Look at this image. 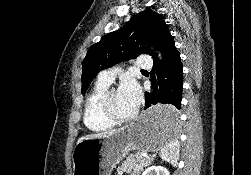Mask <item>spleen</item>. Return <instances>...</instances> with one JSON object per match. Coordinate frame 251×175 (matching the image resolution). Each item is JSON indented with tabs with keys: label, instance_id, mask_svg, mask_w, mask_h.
I'll use <instances>...</instances> for the list:
<instances>
[{
	"label": "spleen",
	"instance_id": "1",
	"mask_svg": "<svg viewBox=\"0 0 251 175\" xmlns=\"http://www.w3.org/2000/svg\"><path fill=\"white\" fill-rule=\"evenodd\" d=\"M177 117V113H175V111H173L172 109V113L169 119H164L163 129L166 135H168V139L165 145L161 147L160 151L162 159H165V161H169V163H172L173 167H176V165H178L179 159V145L178 143H176L175 145L176 137H178L179 131V121Z\"/></svg>",
	"mask_w": 251,
	"mask_h": 175
}]
</instances>
